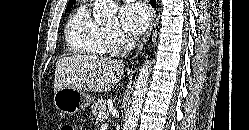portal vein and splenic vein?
Wrapping results in <instances>:
<instances>
[{
	"instance_id": "portal-vein-and-splenic-vein-1",
	"label": "portal vein and splenic vein",
	"mask_w": 249,
	"mask_h": 130,
	"mask_svg": "<svg viewBox=\"0 0 249 130\" xmlns=\"http://www.w3.org/2000/svg\"><path fill=\"white\" fill-rule=\"evenodd\" d=\"M105 119V113L101 112L99 115H98V120L99 121H103Z\"/></svg>"
}]
</instances>
